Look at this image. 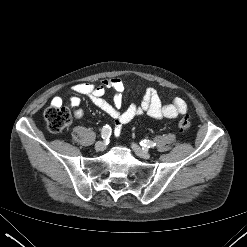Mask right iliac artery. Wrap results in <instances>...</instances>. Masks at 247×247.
I'll list each match as a JSON object with an SVG mask.
<instances>
[{
  "label": "right iliac artery",
  "mask_w": 247,
  "mask_h": 247,
  "mask_svg": "<svg viewBox=\"0 0 247 247\" xmlns=\"http://www.w3.org/2000/svg\"><path fill=\"white\" fill-rule=\"evenodd\" d=\"M111 135V127L109 125L103 126L102 132H101V137L103 139H108Z\"/></svg>",
  "instance_id": "1"
}]
</instances>
